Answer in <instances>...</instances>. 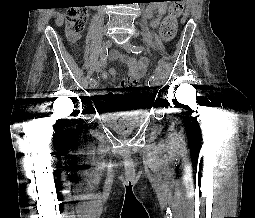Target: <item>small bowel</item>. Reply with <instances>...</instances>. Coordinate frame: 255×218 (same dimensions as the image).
Returning <instances> with one entry per match:
<instances>
[{
	"mask_svg": "<svg viewBox=\"0 0 255 218\" xmlns=\"http://www.w3.org/2000/svg\"><path fill=\"white\" fill-rule=\"evenodd\" d=\"M165 0H155L150 5L146 8V16L150 19V24L151 27L156 28L162 17L166 13L167 9V4L165 3ZM156 11L157 15L156 17H152L153 12ZM111 58L114 60L119 61L120 63L126 65L128 67L129 75L128 79L121 80L120 81V86H136L139 81L143 78L148 60L147 58H141L139 60L130 58L128 56H125L123 54H120L118 51H113L111 54ZM116 70L115 69H110L109 70V75L115 79L116 77ZM107 73H103V78H107ZM118 92L115 91H108V92H103L100 94L101 97H103V102L101 104V107L104 109H108L110 105L113 103V101H116L118 99Z\"/></svg>",
	"mask_w": 255,
	"mask_h": 218,
	"instance_id": "small-bowel-1",
	"label": "small bowel"
}]
</instances>
